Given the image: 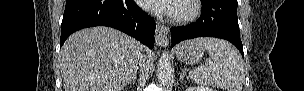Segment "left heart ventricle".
Instances as JSON below:
<instances>
[{"mask_svg":"<svg viewBox=\"0 0 304 91\" xmlns=\"http://www.w3.org/2000/svg\"><path fill=\"white\" fill-rule=\"evenodd\" d=\"M188 9H189L188 4L182 3V2H179V1H178L177 4H176V9H175L174 14L176 15V14L185 13V12L188 11Z\"/></svg>","mask_w":304,"mask_h":91,"instance_id":"left-heart-ventricle-1","label":"left heart ventricle"}]
</instances>
